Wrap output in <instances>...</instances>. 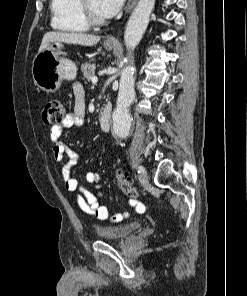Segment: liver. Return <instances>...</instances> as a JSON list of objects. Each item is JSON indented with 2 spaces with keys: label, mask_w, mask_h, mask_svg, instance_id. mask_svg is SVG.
Returning <instances> with one entry per match:
<instances>
[{
  "label": "liver",
  "mask_w": 247,
  "mask_h": 296,
  "mask_svg": "<svg viewBox=\"0 0 247 296\" xmlns=\"http://www.w3.org/2000/svg\"><path fill=\"white\" fill-rule=\"evenodd\" d=\"M100 40V36L85 33H68V32H47L42 39L39 52L46 49L51 43H68L82 46H93Z\"/></svg>",
  "instance_id": "6515ba94"
}]
</instances>
